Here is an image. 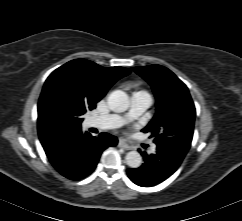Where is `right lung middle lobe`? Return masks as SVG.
<instances>
[{
	"label": "right lung middle lobe",
	"mask_w": 242,
	"mask_h": 221,
	"mask_svg": "<svg viewBox=\"0 0 242 221\" xmlns=\"http://www.w3.org/2000/svg\"><path fill=\"white\" fill-rule=\"evenodd\" d=\"M56 125L64 132H71L81 128L83 119L81 116L86 112L81 106L64 99H57Z\"/></svg>",
	"instance_id": "dd1d6c3e"
}]
</instances>
